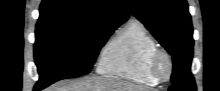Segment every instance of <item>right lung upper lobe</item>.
Instances as JSON below:
<instances>
[{"instance_id":"1","label":"right lung upper lobe","mask_w":220,"mask_h":91,"mask_svg":"<svg viewBox=\"0 0 220 91\" xmlns=\"http://www.w3.org/2000/svg\"><path fill=\"white\" fill-rule=\"evenodd\" d=\"M121 0H43L37 25L73 23L118 27L128 19Z\"/></svg>"}]
</instances>
